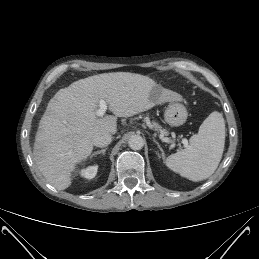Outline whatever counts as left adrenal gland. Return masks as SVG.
Wrapping results in <instances>:
<instances>
[{
  "mask_svg": "<svg viewBox=\"0 0 259 259\" xmlns=\"http://www.w3.org/2000/svg\"><path fill=\"white\" fill-rule=\"evenodd\" d=\"M153 141L157 144L159 150L161 151V156H162V158L164 159V158H165V154H164V151H163V149L161 148L160 144H159L155 139H153ZM158 156L161 157L159 154H158Z\"/></svg>",
  "mask_w": 259,
  "mask_h": 259,
  "instance_id": "1",
  "label": "left adrenal gland"
}]
</instances>
